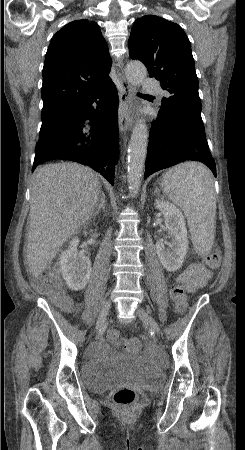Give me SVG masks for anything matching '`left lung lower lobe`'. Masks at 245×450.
Segmentation results:
<instances>
[{"label": "left lung lower lobe", "mask_w": 245, "mask_h": 450, "mask_svg": "<svg viewBox=\"0 0 245 450\" xmlns=\"http://www.w3.org/2000/svg\"><path fill=\"white\" fill-rule=\"evenodd\" d=\"M187 160L205 163L216 176L206 135L188 121L158 112L150 129L144 179L154 172Z\"/></svg>", "instance_id": "obj_1"}]
</instances>
